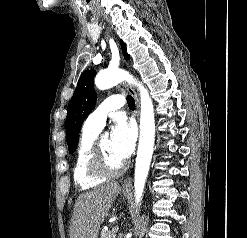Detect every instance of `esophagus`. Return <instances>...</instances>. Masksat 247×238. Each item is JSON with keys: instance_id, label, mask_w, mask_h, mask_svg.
<instances>
[{"instance_id": "1", "label": "esophagus", "mask_w": 247, "mask_h": 238, "mask_svg": "<svg viewBox=\"0 0 247 238\" xmlns=\"http://www.w3.org/2000/svg\"><path fill=\"white\" fill-rule=\"evenodd\" d=\"M126 88H127L128 92L134 97V100H135V103H136V114H137V117H138L139 116V112H140L138 95H137L136 91L134 90V88L132 86L126 85ZM123 188H125V189L131 188V178L130 177H127L124 180Z\"/></svg>"}]
</instances>
